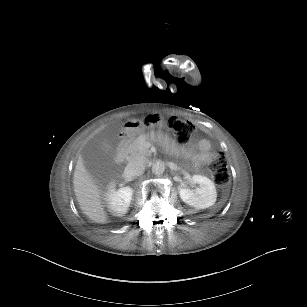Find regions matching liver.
I'll use <instances>...</instances> for the list:
<instances>
[{"label": "liver", "instance_id": "obj_1", "mask_svg": "<svg viewBox=\"0 0 307 307\" xmlns=\"http://www.w3.org/2000/svg\"><path fill=\"white\" fill-rule=\"evenodd\" d=\"M73 184L76 199L83 213L96 223H107V213L101 201L103 192L94 184L84 166L82 157L77 160Z\"/></svg>", "mask_w": 307, "mask_h": 307}]
</instances>
